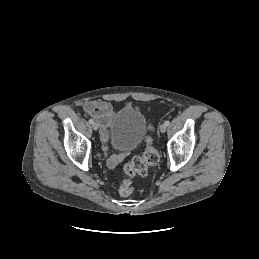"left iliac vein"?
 I'll use <instances>...</instances> for the list:
<instances>
[{
  "instance_id": "left-iliac-vein-1",
  "label": "left iliac vein",
  "mask_w": 259,
  "mask_h": 259,
  "mask_svg": "<svg viewBox=\"0 0 259 259\" xmlns=\"http://www.w3.org/2000/svg\"><path fill=\"white\" fill-rule=\"evenodd\" d=\"M166 129H167V126H166L165 123L160 125V131H161L162 133H165V132H166Z\"/></svg>"
}]
</instances>
